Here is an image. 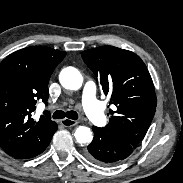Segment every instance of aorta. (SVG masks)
Returning a JSON list of instances; mask_svg holds the SVG:
<instances>
[{"label": "aorta", "mask_w": 183, "mask_h": 183, "mask_svg": "<svg viewBox=\"0 0 183 183\" xmlns=\"http://www.w3.org/2000/svg\"><path fill=\"white\" fill-rule=\"evenodd\" d=\"M59 81L66 89L78 90L82 86L83 77L76 68L66 67L60 72ZM74 136L77 142L81 144L90 143L93 138L91 130L85 126H79L75 130Z\"/></svg>", "instance_id": "762f6f07"}]
</instances>
